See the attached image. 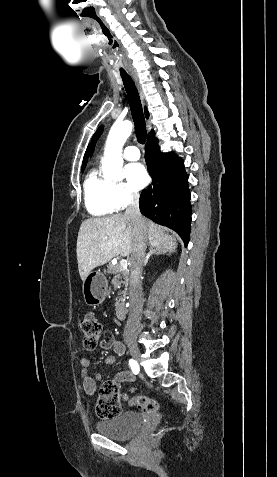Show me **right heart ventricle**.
Returning <instances> with one entry per match:
<instances>
[{"label": "right heart ventricle", "mask_w": 277, "mask_h": 477, "mask_svg": "<svg viewBox=\"0 0 277 477\" xmlns=\"http://www.w3.org/2000/svg\"><path fill=\"white\" fill-rule=\"evenodd\" d=\"M112 182L96 168H91L85 176L83 191L84 204L93 216H107L116 209L111 197Z\"/></svg>", "instance_id": "right-heart-ventricle-1"}]
</instances>
